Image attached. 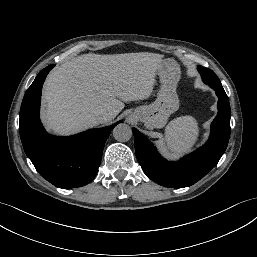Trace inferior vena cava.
<instances>
[{
	"instance_id": "1",
	"label": "inferior vena cava",
	"mask_w": 257,
	"mask_h": 257,
	"mask_svg": "<svg viewBox=\"0 0 257 257\" xmlns=\"http://www.w3.org/2000/svg\"><path fill=\"white\" fill-rule=\"evenodd\" d=\"M114 118V115L110 112H103L97 115V121L99 123H105L107 121H110Z\"/></svg>"
}]
</instances>
